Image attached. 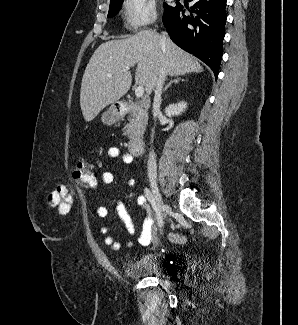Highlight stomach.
I'll use <instances>...</instances> for the list:
<instances>
[{
    "instance_id": "stomach-1",
    "label": "stomach",
    "mask_w": 298,
    "mask_h": 325,
    "mask_svg": "<svg viewBox=\"0 0 298 325\" xmlns=\"http://www.w3.org/2000/svg\"><path fill=\"white\" fill-rule=\"evenodd\" d=\"M101 120L104 122V124H114V122H118V120H120V112L118 108H116L115 104H113L109 110L103 112Z\"/></svg>"
}]
</instances>
